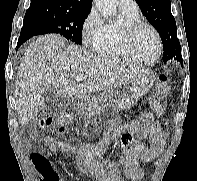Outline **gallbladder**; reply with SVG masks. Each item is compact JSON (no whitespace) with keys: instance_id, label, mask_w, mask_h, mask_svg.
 <instances>
[{"instance_id":"bac80fb5","label":"gallbladder","mask_w":197,"mask_h":181,"mask_svg":"<svg viewBox=\"0 0 197 181\" xmlns=\"http://www.w3.org/2000/svg\"><path fill=\"white\" fill-rule=\"evenodd\" d=\"M44 96L45 104L48 109L51 108L53 99H56V97H61L52 87L46 88Z\"/></svg>"}]
</instances>
